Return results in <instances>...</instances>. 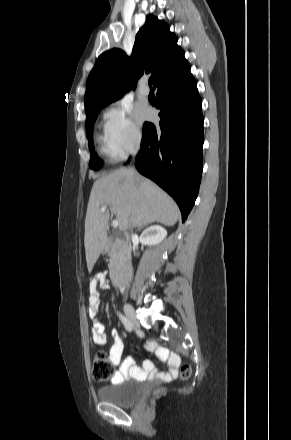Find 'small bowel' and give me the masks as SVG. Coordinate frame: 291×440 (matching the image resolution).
Returning <instances> with one entry per match:
<instances>
[{"mask_svg":"<svg viewBox=\"0 0 291 440\" xmlns=\"http://www.w3.org/2000/svg\"><path fill=\"white\" fill-rule=\"evenodd\" d=\"M98 286L107 288L106 275L98 274L90 280L89 283V316L92 319L91 335L95 344L104 345L106 342L105 328L102 322L97 318L98 309L100 306V294ZM123 289V288H122ZM113 338V345L108 353V360L114 366L120 365L119 369L113 371L111 382L117 383L130 377L134 379L143 378H164L169 379L178 373L181 358L176 353H170L168 350L158 346L156 341L149 342L145 348L147 351L156 352L161 361L168 366L167 371L161 373L150 360L143 362V369L139 368L132 357H126L122 362L121 358L124 351V343L116 330L111 332Z\"/></svg>","mask_w":291,"mask_h":440,"instance_id":"obj_1","label":"small bowel"}]
</instances>
